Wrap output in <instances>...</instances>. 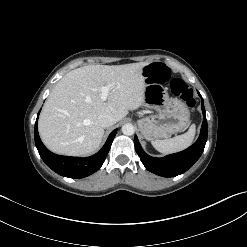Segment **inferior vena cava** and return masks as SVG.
Here are the masks:
<instances>
[{"label": "inferior vena cava", "instance_id": "602c4592", "mask_svg": "<svg viewBox=\"0 0 247 247\" xmlns=\"http://www.w3.org/2000/svg\"><path fill=\"white\" fill-rule=\"evenodd\" d=\"M98 123L102 127L106 128V127H109V126L114 125L116 123V118L113 115H111V114L102 113L98 117Z\"/></svg>", "mask_w": 247, "mask_h": 247}]
</instances>
